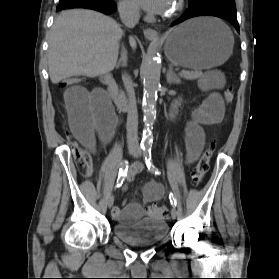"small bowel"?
Here are the masks:
<instances>
[{
    "instance_id": "small-bowel-1",
    "label": "small bowel",
    "mask_w": 279,
    "mask_h": 279,
    "mask_svg": "<svg viewBox=\"0 0 279 279\" xmlns=\"http://www.w3.org/2000/svg\"><path fill=\"white\" fill-rule=\"evenodd\" d=\"M65 106L68 112L69 125L74 137L83 145L97 151V140L102 145L108 144L114 137L118 119L114 109L102 90H87L82 86H73L65 91ZM173 107L171 114H174ZM224 116V104L218 93H211L192 115L185 132L187 159L193 162L199 155L205 135L203 125L217 124ZM140 162L131 165L129 180L142 172ZM92 175V168H87L85 176ZM164 196V187L156 181H149L143 188V202L160 200ZM112 215L119 221L133 222L143 216V209L138 202H130L122 209L115 207Z\"/></svg>"
}]
</instances>
